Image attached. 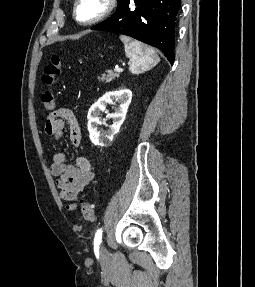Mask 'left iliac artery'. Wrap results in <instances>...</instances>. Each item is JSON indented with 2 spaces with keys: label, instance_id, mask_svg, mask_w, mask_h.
Returning <instances> with one entry per match:
<instances>
[{
  "label": "left iliac artery",
  "instance_id": "left-iliac-artery-1",
  "mask_svg": "<svg viewBox=\"0 0 255 287\" xmlns=\"http://www.w3.org/2000/svg\"><path fill=\"white\" fill-rule=\"evenodd\" d=\"M101 240H102V229H99L95 234L94 245L99 246L101 244Z\"/></svg>",
  "mask_w": 255,
  "mask_h": 287
}]
</instances>
